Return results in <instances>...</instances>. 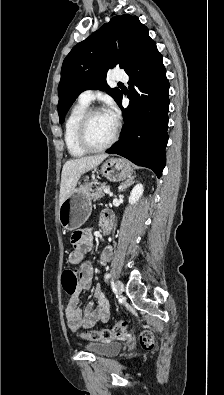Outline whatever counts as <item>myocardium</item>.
I'll use <instances>...</instances> for the list:
<instances>
[{"label": "myocardium", "instance_id": "myocardium-1", "mask_svg": "<svg viewBox=\"0 0 224 395\" xmlns=\"http://www.w3.org/2000/svg\"><path fill=\"white\" fill-rule=\"evenodd\" d=\"M104 112L101 108L99 107H91L88 108L84 114L82 115L79 123H78V128H77V136H78V142L81 145V147L86 150L87 152H101L106 149H108L110 146H112L119 135V123H115V129L114 132L111 136V138L103 145L101 146H95L93 145L88 138V124L91 119V117L97 113Z\"/></svg>", "mask_w": 224, "mask_h": 395}]
</instances>
